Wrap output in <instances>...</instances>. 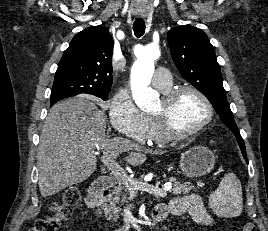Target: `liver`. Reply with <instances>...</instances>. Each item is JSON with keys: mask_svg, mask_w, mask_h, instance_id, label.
Returning a JSON list of instances; mask_svg holds the SVG:
<instances>
[{"mask_svg": "<svg viewBox=\"0 0 268 231\" xmlns=\"http://www.w3.org/2000/svg\"><path fill=\"white\" fill-rule=\"evenodd\" d=\"M107 116L89 98L79 96L54 105L44 122L37 153L42 197L81 183L96 171L95 148L118 155L128 152L126 162H145L144 148L121 137L105 135Z\"/></svg>", "mask_w": 268, "mask_h": 231, "instance_id": "obj_1", "label": "liver"}]
</instances>
